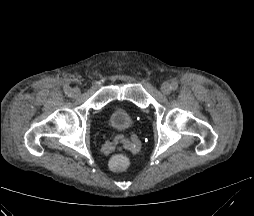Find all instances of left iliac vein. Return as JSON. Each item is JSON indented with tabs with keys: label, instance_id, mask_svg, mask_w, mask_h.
Returning a JSON list of instances; mask_svg holds the SVG:
<instances>
[{
	"label": "left iliac vein",
	"instance_id": "obj_1",
	"mask_svg": "<svg viewBox=\"0 0 254 216\" xmlns=\"http://www.w3.org/2000/svg\"><path fill=\"white\" fill-rule=\"evenodd\" d=\"M161 91L165 94V95H169L171 93V86L168 82H164L161 85Z\"/></svg>",
	"mask_w": 254,
	"mask_h": 216
}]
</instances>
